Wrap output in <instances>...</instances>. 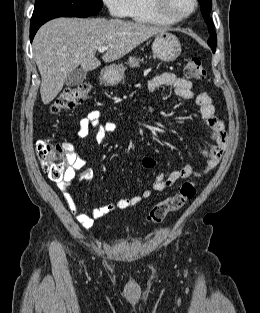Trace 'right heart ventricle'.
<instances>
[{"mask_svg":"<svg viewBox=\"0 0 260 313\" xmlns=\"http://www.w3.org/2000/svg\"><path fill=\"white\" fill-rule=\"evenodd\" d=\"M127 16L138 23L153 25L170 24L155 13L152 7V0H128Z\"/></svg>","mask_w":260,"mask_h":313,"instance_id":"right-heart-ventricle-1","label":"right heart ventricle"}]
</instances>
